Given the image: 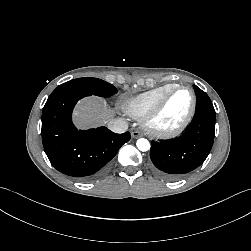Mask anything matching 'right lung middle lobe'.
<instances>
[{
    "label": "right lung middle lobe",
    "mask_w": 251,
    "mask_h": 251,
    "mask_svg": "<svg viewBox=\"0 0 251 251\" xmlns=\"http://www.w3.org/2000/svg\"><path fill=\"white\" fill-rule=\"evenodd\" d=\"M116 92L117 90L112 84L101 79L87 77L70 80L59 85L50 96L62 93H80L87 96L110 97Z\"/></svg>",
    "instance_id": "1"
}]
</instances>
